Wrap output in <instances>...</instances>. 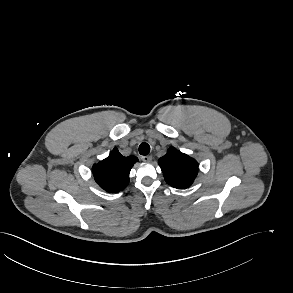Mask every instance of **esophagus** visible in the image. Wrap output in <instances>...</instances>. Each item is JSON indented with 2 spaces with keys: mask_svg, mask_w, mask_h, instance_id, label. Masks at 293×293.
<instances>
[{
  "mask_svg": "<svg viewBox=\"0 0 293 293\" xmlns=\"http://www.w3.org/2000/svg\"><path fill=\"white\" fill-rule=\"evenodd\" d=\"M141 159L144 162H151L152 161V156H150V155H148V156H142Z\"/></svg>",
  "mask_w": 293,
  "mask_h": 293,
  "instance_id": "obj_1",
  "label": "esophagus"
}]
</instances>
